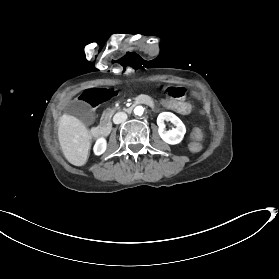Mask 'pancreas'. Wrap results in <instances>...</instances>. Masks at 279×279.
<instances>
[{"label": "pancreas", "mask_w": 279, "mask_h": 279, "mask_svg": "<svg viewBox=\"0 0 279 279\" xmlns=\"http://www.w3.org/2000/svg\"><path fill=\"white\" fill-rule=\"evenodd\" d=\"M118 110V108H107L103 111L102 113V117L101 118H104V117H107V118H111V116Z\"/></svg>", "instance_id": "cf45deb5"}]
</instances>
